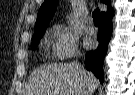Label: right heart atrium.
<instances>
[{"instance_id":"right-heart-atrium-1","label":"right heart atrium","mask_w":135,"mask_h":95,"mask_svg":"<svg viewBox=\"0 0 135 95\" xmlns=\"http://www.w3.org/2000/svg\"><path fill=\"white\" fill-rule=\"evenodd\" d=\"M51 54L55 59L64 60L78 54L75 35L64 25L57 24L50 29Z\"/></svg>"}]
</instances>
